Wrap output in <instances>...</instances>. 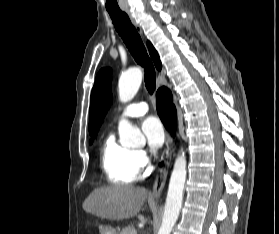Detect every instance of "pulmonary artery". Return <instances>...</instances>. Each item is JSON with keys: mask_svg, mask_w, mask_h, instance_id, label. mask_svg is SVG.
I'll return each mask as SVG.
<instances>
[{"mask_svg": "<svg viewBox=\"0 0 279 234\" xmlns=\"http://www.w3.org/2000/svg\"><path fill=\"white\" fill-rule=\"evenodd\" d=\"M148 111V104L145 101L133 102L129 104L122 112V117H138Z\"/></svg>", "mask_w": 279, "mask_h": 234, "instance_id": "pulmonary-artery-1", "label": "pulmonary artery"}]
</instances>
